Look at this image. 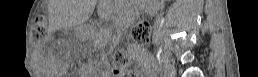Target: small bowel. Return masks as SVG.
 I'll return each mask as SVG.
<instances>
[{
    "instance_id": "small-bowel-1",
    "label": "small bowel",
    "mask_w": 258,
    "mask_h": 77,
    "mask_svg": "<svg viewBox=\"0 0 258 77\" xmlns=\"http://www.w3.org/2000/svg\"><path fill=\"white\" fill-rule=\"evenodd\" d=\"M141 49L139 47L136 48L137 51V55L136 58L141 61V68L143 70H148L150 68L151 65V61L150 59H148L147 57H145V55L140 51Z\"/></svg>"
}]
</instances>
